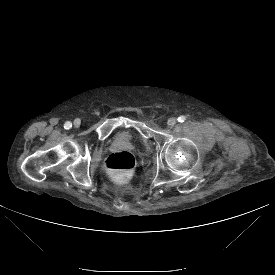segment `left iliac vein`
I'll return each instance as SVG.
<instances>
[{"label":"left iliac vein","mask_w":275,"mask_h":275,"mask_svg":"<svg viewBox=\"0 0 275 275\" xmlns=\"http://www.w3.org/2000/svg\"><path fill=\"white\" fill-rule=\"evenodd\" d=\"M177 122V119L172 117V118H169L168 121H167V124L168 126H174Z\"/></svg>","instance_id":"obj_1"}]
</instances>
